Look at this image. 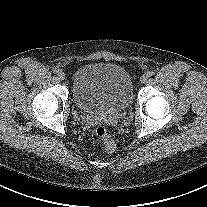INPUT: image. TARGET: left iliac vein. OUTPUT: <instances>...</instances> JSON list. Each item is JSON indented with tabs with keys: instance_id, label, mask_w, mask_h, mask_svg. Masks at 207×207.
<instances>
[{
	"instance_id": "4c4485c4",
	"label": "left iliac vein",
	"mask_w": 207,
	"mask_h": 207,
	"mask_svg": "<svg viewBox=\"0 0 207 207\" xmlns=\"http://www.w3.org/2000/svg\"><path fill=\"white\" fill-rule=\"evenodd\" d=\"M147 80H148V75H147V74H143V75L140 77V82H141V83H145Z\"/></svg>"
}]
</instances>
